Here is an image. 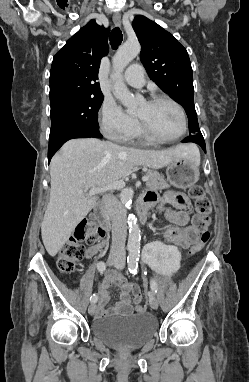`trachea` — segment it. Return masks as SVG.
<instances>
[{
  "label": "trachea",
  "instance_id": "3493384b",
  "mask_svg": "<svg viewBox=\"0 0 249 382\" xmlns=\"http://www.w3.org/2000/svg\"><path fill=\"white\" fill-rule=\"evenodd\" d=\"M110 44L112 46L113 49H116L122 42L123 40V35H122V32L121 30L116 27L112 30L111 34H110Z\"/></svg>",
  "mask_w": 249,
  "mask_h": 382
}]
</instances>
